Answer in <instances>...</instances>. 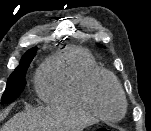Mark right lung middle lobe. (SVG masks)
Segmentation results:
<instances>
[{
	"label": "right lung middle lobe",
	"instance_id": "obj_1",
	"mask_svg": "<svg viewBox=\"0 0 151 131\" xmlns=\"http://www.w3.org/2000/svg\"><path fill=\"white\" fill-rule=\"evenodd\" d=\"M37 48L28 50L21 58L19 66L10 75L6 90L2 96L1 104H7L19 97L26 85V71L36 54Z\"/></svg>",
	"mask_w": 151,
	"mask_h": 131
}]
</instances>
